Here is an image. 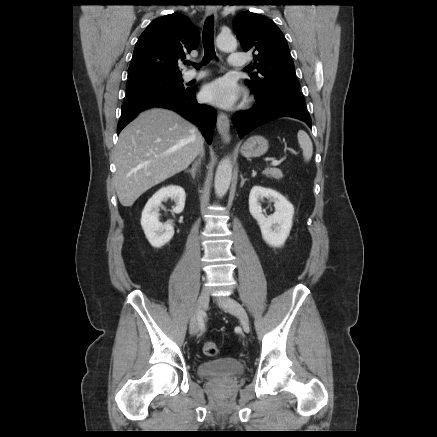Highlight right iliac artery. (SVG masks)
<instances>
[{
    "instance_id": "right-iliac-artery-1",
    "label": "right iliac artery",
    "mask_w": 437,
    "mask_h": 437,
    "mask_svg": "<svg viewBox=\"0 0 437 437\" xmlns=\"http://www.w3.org/2000/svg\"><path fill=\"white\" fill-rule=\"evenodd\" d=\"M198 320L200 322V329L203 330L204 329V323H203V319H202V315L201 314L198 315Z\"/></svg>"
}]
</instances>
